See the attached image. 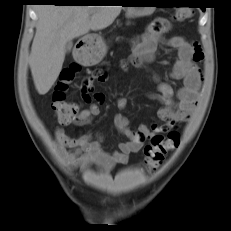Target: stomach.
<instances>
[{
    "mask_svg": "<svg viewBox=\"0 0 231 231\" xmlns=\"http://www.w3.org/2000/svg\"><path fill=\"white\" fill-rule=\"evenodd\" d=\"M134 4H155L154 0H134ZM156 7H127L126 16L128 18H137L150 15ZM107 52V45L101 37H95L87 42L81 50L80 61L84 65H95L99 63Z\"/></svg>",
    "mask_w": 231,
    "mask_h": 231,
    "instance_id": "1",
    "label": "stomach"
}]
</instances>
